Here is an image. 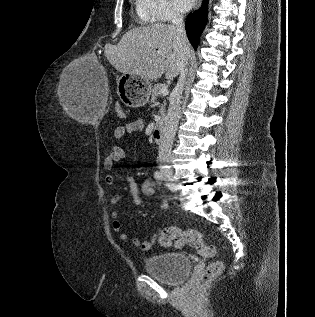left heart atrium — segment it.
<instances>
[{"instance_id": "obj_1", "label": "left heart atrium", "mask_w": 315, "mask_h": 317, "mask_svg": "<svg viewBox=\"0 0 315 317\" xmlns=\"http://www.w3.org/2000/svg\"><path fill=\"white\" fill-rule=\"evenodd\" d=\"M195 3V0H172V4L176 10L180 12L189 11Z\"/></svg>"}]
</instances>
